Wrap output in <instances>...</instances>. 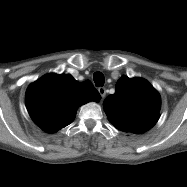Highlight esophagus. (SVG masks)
<instances>
[{
	"label": "esophagus",
	"mask_w": 187,
	"mask_h": 187,
	"mask_svg": "<svg viewBox=\"0 0 187 187\" xmlns=\"http://www.w3.org/2000/svg\"><path fill=\"white\" fill-rule=\"evenodd\" d=\"M98 92H99L100 96L103 99L105 97V95H106V89L104 87H99L98 88Z\"/></svg>",
	"instance_id": "34e87169"
}]
</instances>
